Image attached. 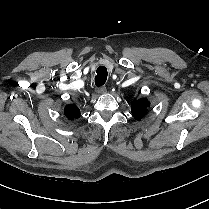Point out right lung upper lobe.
<instances>
[{
  "label": "right lung upper lobe",
  "mask_w": 209,
  "mask_h": 209,
  "mask_svg": "<svg viewBox=\"0 0 209 209\" xmlns=\"http://www.w3.org/2000/svg\"><path fill=\"white\" fill-rule=\"evenodd\" d=\"M64 114L68 119L73 120L80 117V110L76 105L70 104L65 106Z\"/></svg>",
  "instance_id": "1"
}]
</instances>
